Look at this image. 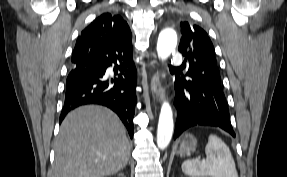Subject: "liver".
I'll return each instance as SVG.
<instances>
[{
  "instance_id": "6515ba94",
  "label": "liver",
  "mask_w": 287,
  "mask_h": 177,
  "mask_svg": "<svg viewBox=\"0 0 287 177\" xmlns=\"http://www.w3.org/2000/svg\"><path fill=\"white\" fill-rule=\"evenodd\" d=\"M130 143L119 117L108 108L88 105L69 113L54 143L50 177H105L122 170Z\"/></svg>"
}]
</instances>
